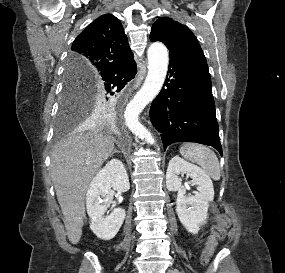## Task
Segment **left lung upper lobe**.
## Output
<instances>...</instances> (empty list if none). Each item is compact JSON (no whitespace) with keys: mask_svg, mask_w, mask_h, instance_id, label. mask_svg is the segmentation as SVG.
I'll return each instance as SVG.
<instances>
[{"mask_svg":"<svg viewBox=\"0 0 285 273\" xmlns=\"http://www.w3.org/2000/svg\"><path fill=\"white\" fill-rule=\"evenodd\" d=\"M151 41H162L170 54L201 70L209 72L206 58L197 38L189 28L168 17L159 18L152 26Z\"/></svg>","mask_w":285,"mask_h":273,"instance_id":"1","label":"left lung upper lobe"}]
</instances>
